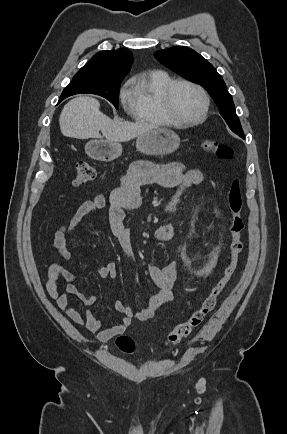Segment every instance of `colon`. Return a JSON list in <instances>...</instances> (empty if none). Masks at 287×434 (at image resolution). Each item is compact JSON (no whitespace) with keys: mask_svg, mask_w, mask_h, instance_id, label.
<instances>
[{"mask_svg":"<svg viewBox=\"0 0 287 434\" xmlns=\"http://www.w3.org/2000/svg\"><path fill=\"white\" fill-rule=\"evenodd\" d=\"M201 147L205 152L213 154L220 159H227L232 156V150L228 146L214 140L203 141ZM95 178L96 169L92 165L84 161L77 163L76 173L73 178L74 186L85 185L93 181ZM227 200L231 215L229 227L230 253L228 263L222 275L213 285L200 306L184 321H181L174 326L165 341V344L168 346L178 344L181 340L188 337L195 328L201 325L206 316L215 308L218 297L225 289L237 269L239 256L243 250L242 233L244 230V203L240 182L238 180L232 182ZM115 343L118 349L124 353H133L135 351V342L129 336H118Z\"/></svg>","mask_w":287,"mask_h":434,"instance_id":"5ec220e1","label":"colon"}]
</instances>
